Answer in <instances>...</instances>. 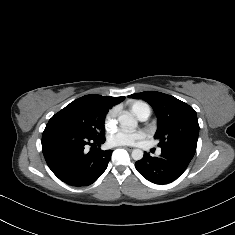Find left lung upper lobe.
<instances>
[{
    "instance_id": "obj_1",
    "label": "left lung upper lobe",
    "mask_w": 235,
    "mask_h": 235,
    "mask_svg": "<svg viewBox=\"0 0 235 235\" xmlns=\"http://www.w3.org/2000/svg\"><path fill=\"white\" fill-rule=\"evenodd\" d=\"M129 97L143 99L154 109L158 128L154 138L160 147H177L196 152L199 124L196 111L179 99L161 92H142Z\"/></svg>"
}]
</instances>
